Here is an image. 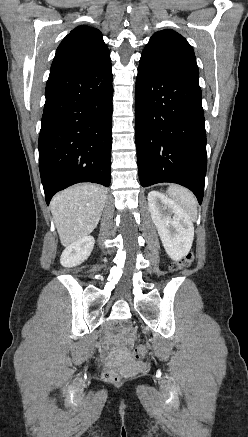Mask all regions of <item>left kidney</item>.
<instances>
[{
	"label": "left kidney",
	"mask_w": 248,
	"mask_h": 437,
	"mask_svg": "<svg viewBox=\"0 0 248 437\" xmlns=\"http://www.w3.org/2000/svg\"><path fill=\"white\" fill-rule=\"evenodd\" d=\"M152 220L169 257L179 261L191 249L194 226L188 214L174 201L158 191L148 194Z\"/></svg>",
	"instance_id": "obj_1"
}]
</instances>
